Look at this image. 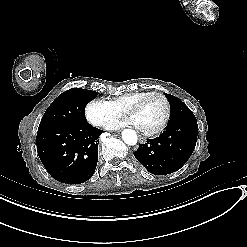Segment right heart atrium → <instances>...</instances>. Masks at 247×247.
I'll return each mask as SVG.
<instances>
[{
    "instance_id": "d8ad5b80",
    "label": "right heart atrium",
    "mask_w": 247,
    "mask_h": 247,
    "mask_svg": "<svg viewBox=\"0 0 247 247\" xmlns=\"http://www.w3.org/2000/svg\"><path fill=\"white\" fill-rule=\"evenodd\" d=\"M87 121L95 127H107L114 113V105L112 102L100 99H90L84 109Z\"/></svg>"
}]
</instances>
